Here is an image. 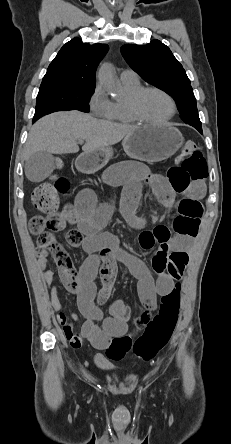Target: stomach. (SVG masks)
<instances>
[{
    "instance_id": "stomach-1",
    "label": "stomach",
    "mask_w": 231,
    "mask_h": 444,
    "mask_svg": "<svg viewBox=\"0 0 231 444\" xmlns=\"http://www.w3.org/2000/svg\"><path fill=\"white\" fill-rule=\"evenodd\" d=\"M181 132L171 124H150L138 127L122 142L125 153L144 162H158L174 155L182 146ZM112 156L110 147L84 153L76 166L84 173H93L107 164Z\"/></svg>"
}]
</instances>
